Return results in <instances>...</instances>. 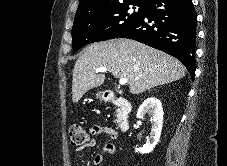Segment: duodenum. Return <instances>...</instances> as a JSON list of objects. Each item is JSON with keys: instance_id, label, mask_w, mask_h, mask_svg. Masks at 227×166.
<instances>
[{"instance_id": "duodenum-1", "label": "duodenum", "mask_w": 227, "mask_h": 166, "mask_svg": "<svg viewBox=\"0 0 227 166\" xmlns=\"http://www.w3.org/2000/svg\"><path fill=\"white\" fill-rule=\"evenodd\" d=\"M104 100L114 104L118 108L119 127L122 132H126L130 126V113L132 111V104L124 98H116L111 91H104Z\"/></svg>"}]
</instances>
